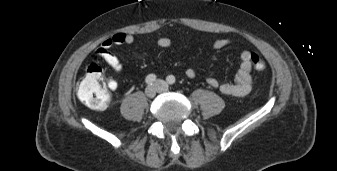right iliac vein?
<instances>
[{
    "label": "right iliac vein",
    "instance_id": "1",
    "mask_svg": "<svg viewBox=\"0 0 337 171\" xmlns=\"http://www.w3.org/2000/svg\"><path fill=\"white\" fill-rule=\"evenodd\" d=\"M157 87L156 86H148L145 90V94L149 98H153L156 96L157 93Z\"/></svg>",
    "mask_w": 337,
    "mask_h": 171
}]
</instances>
